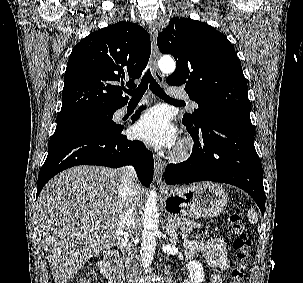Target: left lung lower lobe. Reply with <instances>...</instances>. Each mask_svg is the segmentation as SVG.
Here are the masks:
<instances>
[{
  "label": "left lung lower lobe",
  "mask_w": 303,
  "mask_h": 283,
  "mask_svg": "<svg viewBox=\"0 0 303 283\" xmlns=\"http://www.w3.org/2000/svg\"><path fill=\"white\" fill-rule=\"evenodd\" d=\"M195 145L190 158L168 164L166 184L214 181L235 185L246 191L265 209L262 166L254 147L250 118L209 115L200 128L184 124Z\"/></svg>",
  "instance_id": "1"
}]
</instances>
